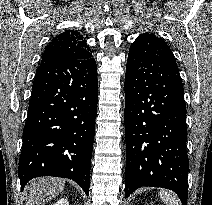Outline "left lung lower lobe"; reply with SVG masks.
I'll return each instance as SVG.
<instances>
[{
  "instance_id": "0a47b994",
  "label": "left lung lower lobe",
  "mask_w": 212,
  "mask_h": 205,
  "mask_svg": "<svg viewBox=\"0 0 212 205\" xmlns=\"http://www.w3.org/2000/svg\"><path fill=\"white\" fill-rule=\"evenodd\" d=\"M125 196L142 186L187 203L189 168L184 91L173 53L154 34L131 45L125 74Z\"/></svg>"
}]
</instances>
